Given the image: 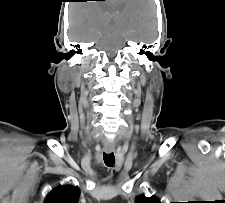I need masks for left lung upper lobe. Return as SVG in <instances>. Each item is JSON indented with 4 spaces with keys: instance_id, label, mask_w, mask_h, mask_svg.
Here are the masks:
<instances>
[{
    "instance_id": "1",
    "label": "left lung upper lobe",
    "mask_w": 225,
    "mask_h": 203,
    "mask_svg": "<svg viewBox=\"0 0 225 203\" xmlns=\"http://www.w3.org/2000/svg\"><path fill=\"white\" fill-rule=\"evenodd\" d=\"M136 203H161L155 197H146L145 195H141L136 199Z\"/></svg>"
}]
</instances>
